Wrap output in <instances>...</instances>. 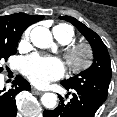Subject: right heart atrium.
Masks as SVG:
<instances>
[{
  "mask_svg": "<svg viewBox=\"0 0 117 117\" xmlns=\"http://www.w3.org/2000/svg\"><path fill=\"white\" fill-rule=\"evenodd\" d=\"M28 36H29V30L25 31V33L23 35V40H22L23 43L27 41Z\"/></svg>",
  "mask_w": 117,
  "mask_h": 117,
  "instance_id": "right-heart-atrium-1",
  "label": "right heart atrium"
}]
</instances>
